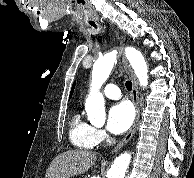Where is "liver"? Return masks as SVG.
I'll return each mask as SVG.
<instances>
[{"instance_id": "obj_1", "label": "liver", "mask_w": 194, "mask_h": 178, "mask_svg": "<svg viewBox=\"0 0 194 178\" xmlns=\"http://www.w3.org/2000/svg\"><path fill=\"white\" fill-rule=\"evenodd\" d=\"M96 153L81 149L69 150L51 162L45 178H70L83 174L95 163Z\"/></svg>"}]
</instances>
